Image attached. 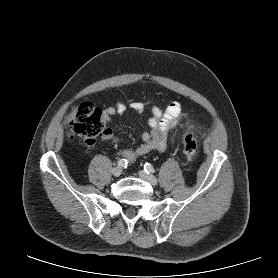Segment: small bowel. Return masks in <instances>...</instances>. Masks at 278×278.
<instances>
[{
	"label": "small bowel",
	"instance_id": "obj_1",
	"mask_svg": "<svg viewBox=\"0 0 278 278\" xmlns=\"http://www.w3.org/2000/svg\"><path fill=\"white\" fill-rule=\"evenodd\" d=\"M147 103L136 101L129 106L125 103L118 102L114 106L105 110L107 118L112 116L124 115L128 108L136 113H142ZM151 117L148 121L149 130L142 133V143L134 149L125 148L121 151L122 155L130 162H134L138 157L143 156L151 151L162 152L167 147V137L169 132L174 129L182 119V106L179 102H171L165 110L157 106H151ZM113 132L107 128L103 134L104 140H110Z\"/></svg>",
	"mask_w": 278,
	"mask_h": 278
}]
</instances>
